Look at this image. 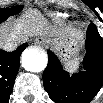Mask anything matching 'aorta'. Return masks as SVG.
<instances>
[{
	"label": "aorta",
	"instance_id": "762f6f07",
	"mask_svg": "<svg viewBox=\"0 0 103 103\" xmlns=\"http://www.w3.org/2000/svg\"><path fill=\"white\" fill-rule=\"evenodd\" d=\"M47 55L36 49H26L22 53V66L31 72H41L46 68Z\"/></svg>",
	"mask_w": 103,
	"mask_h": 103
}]
</instances>
